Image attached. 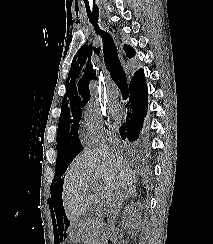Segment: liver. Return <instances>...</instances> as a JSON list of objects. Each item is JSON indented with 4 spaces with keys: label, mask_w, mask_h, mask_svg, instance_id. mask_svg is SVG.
Here are the masks:
<instances>
[{
    "label": "liver",
    "mask_w": 213,
    "mask_h": 244,
    "mask_svg": "<svg viewBox=\"0 0 213 244\" xmlns=\"http://www.w3.org/2000/svg\"><path fill=\"white\" fill-rule=\"evenodd\" d=\"M97 181L103 183L101 197L106 202L117 193L122 195L137 179L122 151L100 146L80 154L67 169L63 184L62 201L70 222H77L95 202V195L87 193Z\"/></svg>",
    "instance_id": "6515ba94"
}]
</instances>
